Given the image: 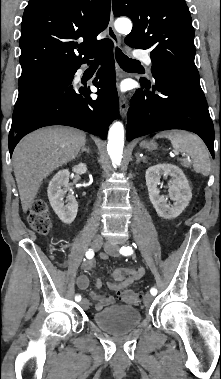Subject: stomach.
Wrapping results in <instances>:
<instances>
[{
  "label": "stomach",
  "mask_w": 221,
  "mask_h": 379,
  "mask_svg": "<svg viewBox=\"0 0 221 379\" xmlns=\"http://www.w3.org/2000/svg\"><path fill=\"white\" fill-rule=\"evenodd\" d=\"M141 146L144 147V148H147L149 150H153V149H156V144L153 143V142H146V141H143L141 143Z\"/></svg>",
  "instance_id": "0dacf381"
}]
</instances>
